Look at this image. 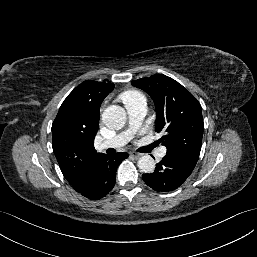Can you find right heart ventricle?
Wrapping results in <instances>:
<instances>
[{"mask_svg":"<svg viewBox=\"0 0 257 257\" xmlns=\"http://www.w3.org/2000/svg\"><path fill=\"white\" fill-rule=\"evenodd\" d=\"M120 98L125 105L140 100L146 101L145 96L141 92L136 90L126 91L120 96Z\"/></svg>","mask_w":257,"mask_h":257,"instance_id":"1","label":"right heart ventricle"}]
</instances>
